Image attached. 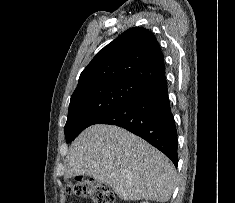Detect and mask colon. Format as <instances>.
Instances as JSON below:
<instances>
[{"mask_svg":"<svg viewBox=\"0 0 235 203\" xmlns=\"http://www.w3.org/2000/svg\"><path fill=\"white\" fill-rule=\"evenodd\" d=\"M69 192L90 199L93 203H115V196L107 185H96L91 181L78 178L69 186Z\"/></svg>","mask_w":235,"mask_h":203,"instance_id":"5ec220e1","label":"colon"}]
</instances>
